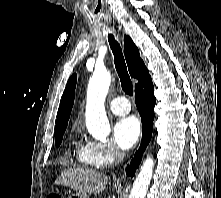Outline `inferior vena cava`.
I'll list each match as a JSON object with an SVG mask.
<instances>
[{
	"label": "inferior vena cava",
	"mask_w": 221,
	"mask_h": 198,
	"mask_svg": "<svg viewBox=\"0 0 221 198\" xmlns=\"http://www.w3.org/2000/svg\"><path fill=\"white\" fill-rule=\"evenodd\" d=\"M124 158V152L119 149L115 150V163L120 162Z\"/></svg>",
	"instance_id": "602c4592"
}]
</instances>
